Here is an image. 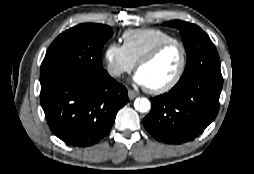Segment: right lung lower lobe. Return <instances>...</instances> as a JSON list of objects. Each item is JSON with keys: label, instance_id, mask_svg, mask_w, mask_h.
<instances>
[{"label": "right lung lower lobe", "instance_id": "obj_1", "mask_svg": "<svg viewBox=\"0 0 254 174\" xmlns=\"http://www.w3.org/2000/svg\"><path fill=\"white\" fill-rule=\"evenodd\" d=\"M40 101L51 131L65 143L87 147L106 136L127 89L105 73L41 89Z\"/></svg>", "mask_w": 254, "mask_h": 174}]
</instances>
